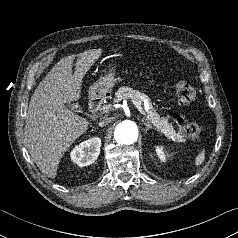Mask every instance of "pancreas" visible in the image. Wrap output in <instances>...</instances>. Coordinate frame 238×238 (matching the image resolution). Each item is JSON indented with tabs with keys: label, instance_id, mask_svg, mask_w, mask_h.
<instances>
[{
	"label": "pancreas",
	"instance_id": "cf45deb5",
	"mask_svg": "<svg viewBox=\"0 0 238 238\" xmlns=\"http://www.w3.org/2000/svg\"><path fill=\"white\" fill-rule=\"evenodd\" d=\"M122 99H131L136 102H142L144 99H146L149 102V110L146 112V117L155 126V128L169 139L175 140L177 142L184 141L183 136L180 133H176L172 124L169 123L166 118L160 117V115L154 110L147 95L139 92L138 90L123 86L117 90L113 101L118 102Z\"/></svg>",
	"mask_w": 238,
	"mask_h": 238
}]
</instances>
